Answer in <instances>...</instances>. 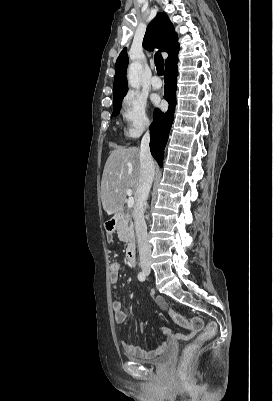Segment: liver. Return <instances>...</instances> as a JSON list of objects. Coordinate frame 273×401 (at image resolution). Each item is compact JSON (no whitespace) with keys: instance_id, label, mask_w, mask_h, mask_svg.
<instances>
[{"instance_id":"liver-1","label":"liver","mask_w":273,"mask_h":401,"mask_svg":"<svg viewBox=\"0 0 273 401\" xmlns=\"http://www.w3.org/2000/svg\"><path fill=\"white\" fill-rule=\"evenodd\" d=\"M140 176V150L114 148L104 166L101 180V201L107 215L122 211L126 201V190L132 188L136 201V190Z\"/></svg>"}]
</instances>
